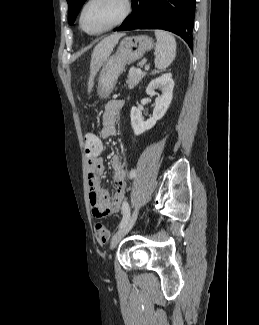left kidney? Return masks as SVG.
Masks as SVG:
<instances>
[{
    "label": "left kidney",
    "mask_w": 259,
    "mask_h": 325,
    "mask_svg": "<svg viewBox=\"0 0 259 325\" xmlns=\"http://www.w3.org/2000/svg\"><path fill=\"white\" fill-rule=\"evenodd\" d=\"M158 88L161 89L162 94L156 98L153 115L147 121L143 120L140 109L137 107L131 109V126L137 136L153 128L156 122L166 114L173 97L174 82L171 73L163 74L152 80L146 89L147 95L154 96Z\"/></svg>",
    "instance_id": "5707ae66"
}]
</instances>
